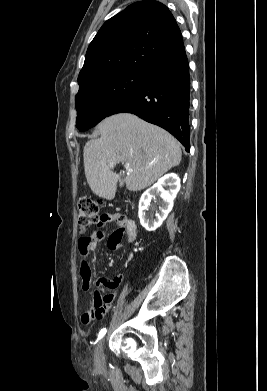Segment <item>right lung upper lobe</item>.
<instances>
[{
  "label": "right lung upper lobe",
  "mask_w": 267,
  "mask_h": 391,
  "mask_svg": "<svg viewBox=\"0 0 267 391\" xmlns=\"http://www.w3.org/2000/svg\"><path fill=\"white\" fill-rule=\"evenodd\" d=\"M184 51L181 31L169 9L157 1L136 2L100 28L88 47L78 84L81 88L106 73H147Z\"/></svg>",
  "instance_id": "1"
}]
</instances>
